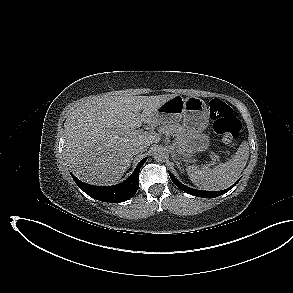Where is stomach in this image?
<instances>
[{
  "instance_id": "obj_1",
  "label": "stomach",
  "mask_w": 293,
  "mask_h": 293,
  "mask_svg": "<svg viewBox=\"0 0 293 293\" xmlns=\"http://www.w3.org/2000/svg\"><path fill=\"white\" fill-rule=\"evenodd\" d=\"M157 124H169L183 119L192 152L208 149L210 139L204 130L209 124V109L201 98H183L176 95L162 104L154 113Z\"/></svg>"
}]
</instances>
